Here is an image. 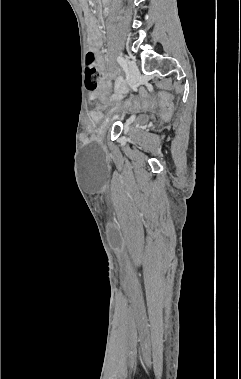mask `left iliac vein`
<instances>
[{
  "label": "left iliac vein",
  "instance_id": "4c4485c4",
  "mask_svg": "<svg viewBox=\"0 0 241 379\" xmlns=\"http://www.w3.org/2000/svg\"><path fill=\"white\" fill-rule=\"evenodd\" d=\"M126 64H127V69H128V74H129L130 82L132 84H135L138 81L139 76H140V72H139L138 66L136 65L135 61L130 60V59H127ZM116 108H117V106L114 107V108H112L109 111V113L107 114L105 120L101 124V126H100V128L98 130V133H99L100 136H104L105 135V133L107 131V128L109 126V123H110V117L113 114V112L116 110Z\"/></svg>",
  "mask_w": 241,
  "mask_h": 379
}]
</instances>
